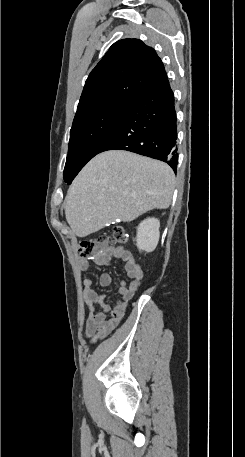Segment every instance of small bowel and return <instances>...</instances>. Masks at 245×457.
<instances>
[{
  "instance_id": "obj_1",
  "label": "small bowel",
  "mask_w": 245,
  "mask_h": 457,
  "mask_svg": "<svg viewBox=\"0 0 245 457\" xmlns=\"http://www.w3.org/2000/svg\"><path fill=\"white\" fill-rule=\"evenodd\" d=\"M115 257L124 262L125 272L129 281H120L117 287L119 299L113 306L105 302L103 296L94 288L93 279L83 280V295L89 308V316L85 323L84 334L91 341L96 342L105 338L122 320L129 300L139 289L143 278L141 266L136 263L131 252L124 247H109L103 253L89 259H81L79 268L81 271L88 270L90 262L107 266ZM112 277L104 273L99 278V284L107 287L111 284Z\"/></svg>"
}]
</instances>
